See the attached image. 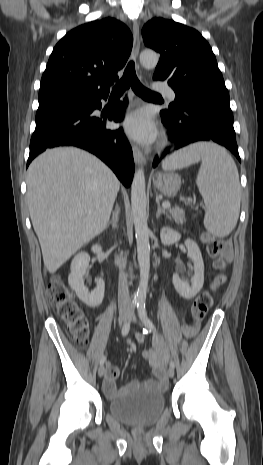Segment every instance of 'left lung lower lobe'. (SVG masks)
I'll use <instances>...</instances> for the list:
<instances>
[{
    "mask_svg": "<svg viewBox=\"0 0 263 465\" xmlns=\"http://www.w3.org/2000/svg\"><path fill=\"white\" fill-rule=\"evenodd\" d=\"M163 124L168 127L169 138L179 149L197 141H213L229 149L240 161L233 128V114L228 103L206 101L178 103L175 110L160 112ZM169 153V149L164 155ZM158 160L153 166H157Z\"/></svg>",
    "mask_w": 263,
    "mask_h": 465,
    "instance_id": "obj_1",
    "label": "left lung lower lobe"
}]
</instances>
